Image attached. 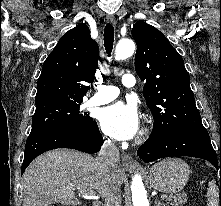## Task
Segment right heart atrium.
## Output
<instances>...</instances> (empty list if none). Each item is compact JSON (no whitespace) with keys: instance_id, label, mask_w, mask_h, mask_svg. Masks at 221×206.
Here are the masks:
<instances>
[{"instance_id":"right-heart-atrium-1","label":"right heart atrium","mask_w":221,"mask_h":206,"mask_svg":"<svg viewBox=\"0 0 221 206\" xmlns=\"http://www.w3.org/2000/svg\"><path fill=\"white\" fill-rule=\"evenodd\" d=\"M106 141H107V142H110V139L106 138Z\"/></svg>"}]
</instances>
